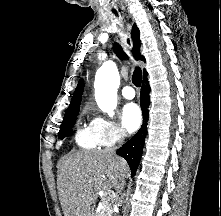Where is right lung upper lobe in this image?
<instances>
[{
	"instance_id": "obj_1",
	"label": "right lung upper lobe",
	"mask_w": 221,
	"mask_h": 216,
	"mask_svg": "<svg viewBox=\"0 0 221 216\" xmlns=\"http://www.w3.org/2000/svg\"><path fill=\"white\" fill-rule=\"evenodd\" d=\"M131 37L133 40L134 57L138 60L145 61L144 57L140 54L139 30L135 24L132 27ZM114 51L118 55V57L121 59H124L127 57L118 44L114 45ZM143 73H144V77H146L147 76L146 70H144ZM83 88H84V82L83 80H80L72 96L71 103L68 109L66 110L65 116L70 115L75 112H79Z\"/></svg>"
}]
</instances>
